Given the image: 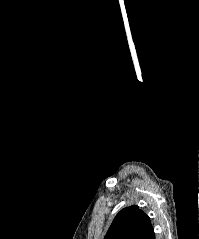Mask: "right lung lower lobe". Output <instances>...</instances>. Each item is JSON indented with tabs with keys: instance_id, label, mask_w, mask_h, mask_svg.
Listing matches in <instances>:
<instances>
[{
	"instance_id": "1",
	"label": "right lung lower lobe",
	"mask_w": 199,
	"mask_h": 239,
	"mask_svg": "<svg viewBox=\"0 0 199 239\" xmlns=\"http://www.w3.org/2000/svg\"><path fill=\"white\" fill-rule=\"evenodd\" d=\"M143 239H155L154 231L152 230L149 234H147Z\"/></svg>"
}]
</instances>
